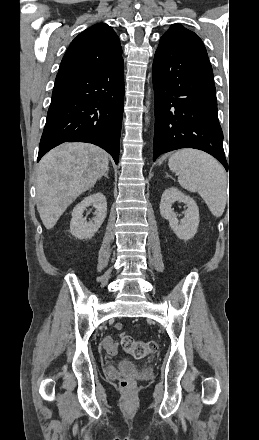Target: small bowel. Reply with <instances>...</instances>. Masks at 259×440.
<instances>
[{
	"instance_id": "1",
	"label": "small bowel",
	"mask_w": 259,
	"mask_h": 440,
	"mask_svg": "<svg viewBox=\"0 0 259 440\" xmlns=\"http://www.w3.org/2000/svg\"><path fill=\"white\" fill-rule=\"evenodd\" d=\"M118 328H121V325H117ZM104 348L111 354H115L118 349V344L113 336H107L103 339L102 342Z\"/></svg>"
}]
</instances>
